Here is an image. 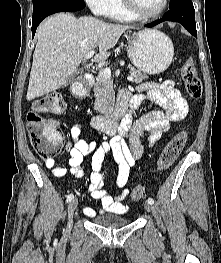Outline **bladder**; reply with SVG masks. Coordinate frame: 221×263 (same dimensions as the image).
Listing matches in <instances>:
<instances>
[{
  "label": "bladder",
  "mask_w": 221,
  "mask_h": 263,
  "mask_svg": "<svg viewBox=\"0 0 221 263\" xmlns=\"http://www.w3.org/2000/svg\"><path fill=\"white\" fill-rule=\"evenodd\" d=\"M93 223L104 228H119L127 226L129 221L119 215L105 214L94 217Z\"/></svg>",
  "instance_id": "1"
}]
</instances>
